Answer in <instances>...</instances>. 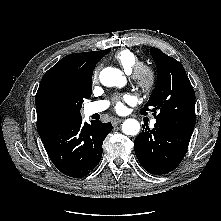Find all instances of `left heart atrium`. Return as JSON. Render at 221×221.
<instances>
[{
    "label": "left heart atrium",
    "instance_id": "obj_1",
    "mask_svg": "<svg viewBox=\"0 0 221 221\" xmlns=\"http://www.w3.org/2000/svg\"><path fill=\"white\" fill-rule=\"evenodd\" d=\"M124 101H127V102L131 101V97L130 96H125ZM115 109L119 113L123 112L125 110L124 103L122 101H117L116 105H115Z\"/></svg>",
    "mask_w": 221,
    "mask_h": 221
}]
</instances>
